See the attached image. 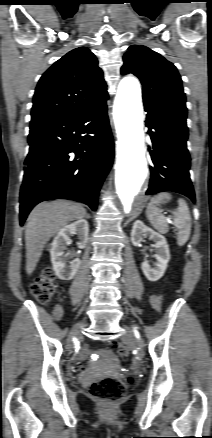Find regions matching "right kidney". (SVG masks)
<instances>
[{"label":"right kidney","mask_w":212,"mask_h":438,"mask_svg":"<svg viewBox=\"0 0 212 438\" xmlns=\"http://www.w3.org/2000/svg\"><path fill=\"white\" fill-rule=\"evenodd\" d=\"M89 224L86 220L80 219L72 224L63 227L55 236L50 247L51 262L57 277L61 280L74 278L81 261L76 258L67 264V256L64 254L66 245L70 243V235H78V247L85 248L88 242Z\"/></svg>","instance_id":"obj_1"}]
</instances>
